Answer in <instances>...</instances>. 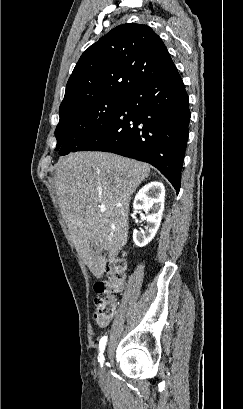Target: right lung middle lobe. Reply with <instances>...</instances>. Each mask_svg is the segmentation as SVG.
<instances>
[{
  "mask_svg": "<svg viewBox=\"0 0 243 409\" xmlns=\"http://www.w3.org/2000/svg\"><path fill=\"white\" fill-rule=\"evenodd\" d=\"M126 97H100L60 109L55 130L60 155L73 151L83 141L104 129L119 111Z\"/></svg>",
  "mask_w": 243,
  "mask_h": 409,
  "instance_id": "dd1d6c3e",
  "label": "right lung middle lobe"
}]
</instances>
